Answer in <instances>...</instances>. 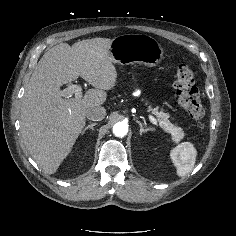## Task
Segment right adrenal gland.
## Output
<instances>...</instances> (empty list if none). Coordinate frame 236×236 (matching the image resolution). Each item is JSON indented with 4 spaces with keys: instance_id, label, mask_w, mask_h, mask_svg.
Listing matches in <instances>:
<instances>
[{
    "instance_id": "obj_1",
    "label": "right adrenal gland",
    "mask_w": 236,
    "mask_h": 236,
    "mask_svg": "<svg viewBox=\"0 0 236 236\" xmlns=\"http://www.w3.org/2000/svg\"><path fill=\"white\" fill-rule=\"evenodd\" d=\"M95 125H97L96 122L89 124L88 126H86V127L83 129V131L81 132V134L84 135L85 132H86L88 129H91V130L93 131Z\"/></svg>"
}]
</instances>
